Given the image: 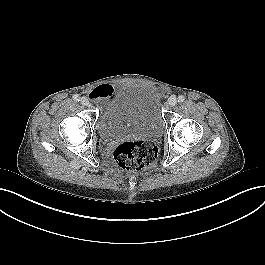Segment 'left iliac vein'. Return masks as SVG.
I'll use <instances>...</instances> for the list:
<instances>
[{"instance_id": "1", "label": "left iliac vein", "mask_w": 265, "mask_h": 265, "mask_svg": "<svg viewBox=\"0 0 265 265\" xmlns=\"http://www.w3.org/2000/svg\"><path fill=\"white\" fill-rule=\"evenodd\" d=\"M177 104V99H176V97H174V96H171L169 99H168V105L169 106H175Z\"/></svg>"}]
</instances>
